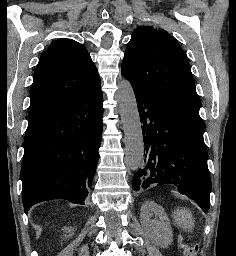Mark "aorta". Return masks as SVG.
Returning a JSON list of instances; mask_svg holds the SVG:
<instances>
[{"label":"aorta","instance_id":"1","mask_svg":"<svg viewBox=\"0 0 236 256\" xmlns=\"http://www.w3.org/2000/svg\"><path fill=\"white\" fill-rule=\"evenodd\" d=\"M116 97L125 135V162L135 171L142 165L144 141L137 102L129 81L123 79L118 83Z\"/></svg>","mask_w":236,"mask_h":256}]
</instances>
